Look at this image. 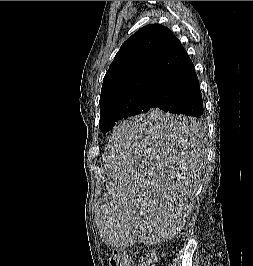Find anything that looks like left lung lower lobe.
<instances>
[{
  "mask_svg": "<svg viewBox=\"0 0 253 266\" xmlns=\"http://www.w3.org/2000/svg\"><path fill=\"white\" fill-rule=\"evenodd\" d=\"M152 109L193 118L147 123L144 128L149 132L171 139L200 133V125L195 120L203 116L198 78L186 50L175 36L163 53L145 94L142 113Z\"/></svg>",
  "mask_w": 253,
  "mask_h": 266,
  "instance_id": "left-lung-lower-lobe-1",
  "label": "left lung lower lobe"
}]
</instances>
